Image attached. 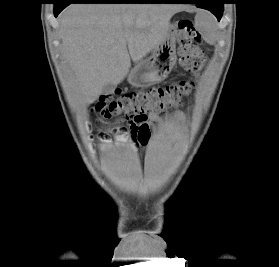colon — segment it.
I'll return each instance as SVG.
<instances>
[{"label": "colon", "instance_id": "5ec220e1", "mask_svg": "<svg viewBox=\"0 0 279 267\" xmlns=\"http://www.w3.org/2000/svg\"><path fill=\"white\" fill-rule=\"evenodd\" d=\"M177 44L181 67L198 74L204 68L206 58L200 48L201 35L192 20L182 19L178 22ZM193 88V82L181 81L147 91L127 92L118 98L104 95L96 103L94 111L102 121H127L129 126L149 113L158 114L180 105L182 98L188 96ZM143 136L144 131L141 132Z\"/></svg>", "mask_w": 279, "mask_h": 267}]
</instances>
